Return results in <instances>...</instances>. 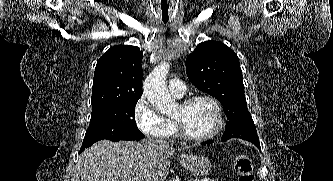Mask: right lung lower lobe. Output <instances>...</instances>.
<instances>
[{
	"mask_svg": "<svg viewBox=\"0 0 333 181\" xmlns=\"http://www.w3.org/2000/svg\"><path fill=\"white\" fill-rule=\"evenodd\" d=\"M91 145H92V144L87 145V146H82L81 149H80V152H79V153L83 152L86 148H88V147L91 146Z\"/></svg>",
	"mask_w": 333,
	"mask_h": 181,
	"instance_id": "98d812e1",
	"label": "right lung lower lobe"
}]
</instances>
